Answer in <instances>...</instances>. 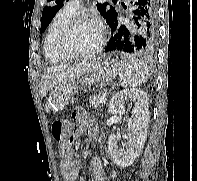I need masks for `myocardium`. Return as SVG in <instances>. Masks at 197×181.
Returning <instances> with one entry per match:
<instances>
[{"label": "myocardium", "instance_id": "obj_1", "mask_svg": "<svg viewBox=\"0 0 197 181\" xmlns=\"http://www.w3.org/2000/svg\"><path fill=\"white\" fill-rule=\"evenodd\" d=\"M84 22H92L94 23L99 30V39L94 47L89 52L85 53H71L66 48V41L70 34V32L78 25ZM106 40V33L104 28L92 17L88 15H76L71 18L62 28L57 38L56 46L58 53L62 56L64 60H80V59H88L96 56L103 48Z\"/></svg>", "mask_w": 197, "mask_h": 181}]
</instances>
